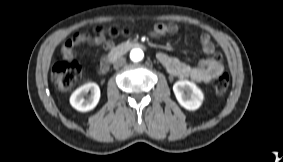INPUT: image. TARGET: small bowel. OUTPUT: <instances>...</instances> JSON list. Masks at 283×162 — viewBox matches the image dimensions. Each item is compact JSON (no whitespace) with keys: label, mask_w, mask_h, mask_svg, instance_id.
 I'll use <instances>...</instances> for the list:
<instances>
[{"label":"small bowel","mask_w":283,"mask_h":162,"mask_svg":"<svg viewBox=\"0 0 283 162\" xmlns=\"http://www.w3.org/2000/svg\"><path fill=\"white\" fill-rule=\"evenodd\" d=\"M177 30V25L173 23H159L153 27L151 34L153 36H161L164 34H173L177 32ZM200 43L204 53L210 55V57L200 60L197 66H191L164 52H159L157 58L172 76L190 78L200 83H210L213 79L222 74L224 68L220 61V55L215 54V46L211 37L208 34H202L200 36ZM81 44L93 46L103 45L110 52L115 51L117 48L116 43L107 41L104 35L91 36L89 33H75L66 40L62 47L63 59L66 61H74V48ZM107 50L103 51L104 55L108 54ZM109 61L110 58L106 56L99 58L100 66L96 68V75L98 77H103L110 71Z\"/></svg>","instance_id":"obj_1"}]
</instances>
